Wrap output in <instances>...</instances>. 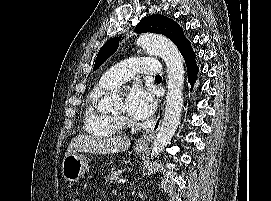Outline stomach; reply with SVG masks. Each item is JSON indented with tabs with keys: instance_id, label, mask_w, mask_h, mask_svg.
<instances>
[{
	"instance_id": "stomach-1",
	"label": "stomach",
	"mask_w": 271,
	"mask_h": 201,
	"mask_svg": "<svg viewBox=\"0 0 271 201\" xmlns=\"http://www.w3.org/2000/svg\"><path fill=\"white\" fill-rule=\"evenodd\" d=\"M145 148L146 146H134L137 153H142ZM88 162L89 159L79 153H74L65 157L62 163V176L68 182H77L84 177L88 168Z\"/></svg>"
}]
</instances>
